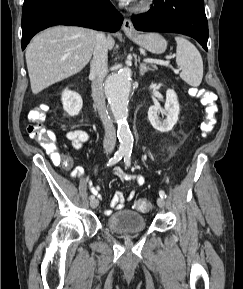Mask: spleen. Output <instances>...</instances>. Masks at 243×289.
Here are the masks:
<instances>
[{"label": "spleen", "mask_w": 243, "mask_h": 289, "mask_svg": "<svg viewBox=\"0 0 243 289\" xmlns=\"http://www.w3.org/2000/svg\"><path fill=\"white\" fill-rule=\"evenodd\" d=\"M176 63L182 69L180 77L190 86L198 87L203 78V61L197 48L187 39L175 37Z\"/></svg>", "instance_id": "1"}]
</instances>
